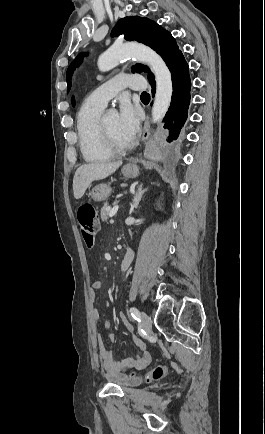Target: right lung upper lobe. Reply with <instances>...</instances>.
<instances>
[{
	"label": "right lung upper lobe",
	"mask_w": 265,
	"mask_h": 434,
	"mask_svg": "<svg viewBox=\"0 0 265 434\" xmlns=\"http://www.w3.org/2000/svg\"><path fill=\"white\" fill-rule=\"evenodd\" d=\"M71 102H72V105L74 106V97H72Z\"/></svg>",
	"instance_id": "right-lung-upper-lobe-1"
}]
</instances>
